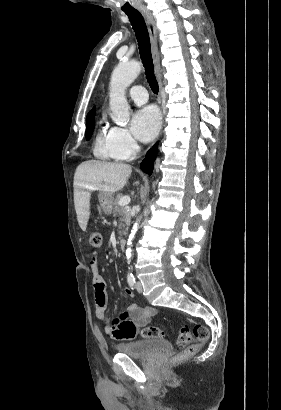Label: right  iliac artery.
<instances>
[{"mask_svg": "<svg viewBox=\"0 0 281 410\" xmlns=\"http://www.w3.org/2000/svg\"><path fill=\"white\" fill-rule=\"evenodd\" d=\"M127 281H128L129 286L133 289L136 285V280H135L134 275H132V274L128 275L127 276Z\"/></svg>", "mask_w": 281, "mask_h": 410, "instance_id": "right-iliac-artery-1", "label": "right iliac artery"}]
</instances>
